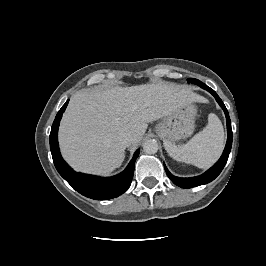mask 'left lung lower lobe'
Returning a JSON list of instances; mask_svg holds the SVG:
<instances>
[{"instance_id": "1", "label": "left lung lower lobe", "mask_w": 266, "mask_h": 266, "mask_svg": "<svg viewBox=\"0 0 266 266\" xmlns=\"http://www.w3.org/2000/svg\"><path fill=\"white\" fill-rule=\"evenodd\" d=\"M194 83L197 84L198 86H200L201 88L209 91L215 97L218 104L224 110L225 115H226L228 137H227V143H226L225 149H224L223 154L220 157V159L216 162V164L214 166H212L209 170H207L204 174H202L200 176L191 177V178L175 177L168 171V169L166 168V166L164 164L165 171H166L168 177L171 179V181L174 184H176L177 186H179L181 188H192V187L207 184V183L213 181L223 170V168H224V166L228 160L229 153H230L231 147H232L233 135H232V129H231V120H230L228 111H227L224 103L222 102L220 97L217 95V93L213 89H211L210 87L203 84L201 81H199L197 79L195 80Z\"/></svg>"}]
</instances>
